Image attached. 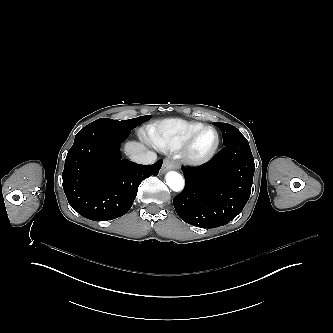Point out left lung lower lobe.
Here are the masks:
<instances>
[{"label": "left lung lower lobe", "instance_id": "1", "mask_svg": "<svg viewBox=\"0 0 333 333\" xmlns=\"http://www.w3.org/2000/svg\"><path fill=\"white\" fill-rule=\"evenodd\" d=\"M254 170L246 139L225 145L199 167H182L185 187L173 200L178 216L186 223L207 229L229 223L250 197Z\"/></svg>", "mask_w": 333, "mask_h": 333}]
</instances>
